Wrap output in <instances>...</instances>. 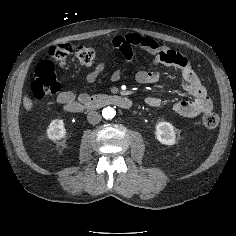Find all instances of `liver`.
Wrapping results in <instances>:
<instances>
[{
	"label": "liver",
	"instance_id": "liver-1",
	"mask_svg": "<svg viewBox=\"0 0 236 236\" xmlns=\"http://www.w3.org/2000/svg\"><path fill=\"white\" fill-rule=\"evenodd\" d=\"M23 106L26 111H31L33 108V101L27 95L23 97Z\"/></svg>",
	"mask_w": 236,
	"mask_h": 236
}]
</instances>
